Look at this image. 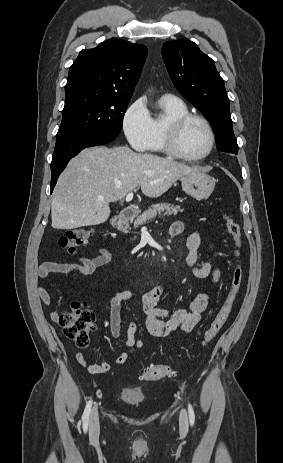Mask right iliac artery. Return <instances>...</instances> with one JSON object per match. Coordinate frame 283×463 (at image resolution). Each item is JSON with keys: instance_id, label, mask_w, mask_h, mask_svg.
<instances>
[{"instance_id": "1", "label": "right iliac artery", "mask_w": 283, "mask_h": 463, "mask_svg": "<svg viewBox=\"0 0 283 463\" xmlns=\"http://www.w3.org/2000/svg\"><path fill=\"white\" fill-rule=\"evenodd\" d=\"M91 407H92V400H90L87 403V405L85 407V410H84V413L82 415L83 430H84L85 433L87 432V429H88L89 414H90V411H91Z\"/></svg>"}]
</instances>
